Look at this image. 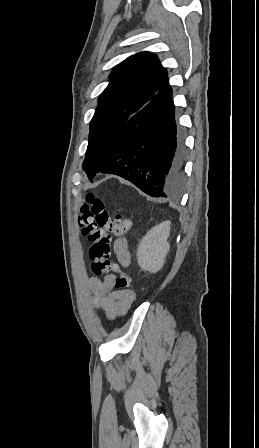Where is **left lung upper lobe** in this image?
<instances>
[{"label": "left lung upper lobe", "mask_w": 259, "mask_h": 448, "mask_svg": "<svg viewBox=\"0 0 259 448\" xmlns=\"http://www.w3.org/2000/svg\"><path fill=\"white\" fill-rule=\"evenodd\" d=\"M168 73L154 53L129 56L113 68L110 83L99 96L90 122L89 142L82 164L86 174L91 161L125 125L132 112L143 108L155 95Z\"/></svg>", "instance_id": "obj_1"}]
</instances>
